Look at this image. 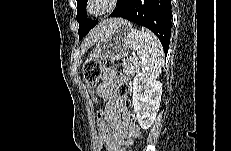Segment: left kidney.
Segmentation results:
<instances>
[{"label":"left kidney","instance_id":"1","mask_svg":"<svg viewBox=\"0 0 231 151\" xmlns=\"http://www.w3.org/2000/svg\"><path fill=\"white\" fill-rule=\"evenodd\" d=\"M133 106L142 129L153 124L160 107L162 84L156 79L138 73L133 81Z\"/></svg>","mask_w":231,"mask_h":151}]
</instances>
